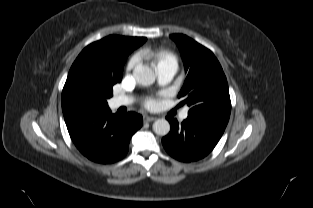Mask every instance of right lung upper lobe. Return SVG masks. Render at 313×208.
Listing matches in <instances>:
<instances>
[{"label":"right lung upper lobe","instance_id":"cb5924a9","mask_svg":"<svg viewBox=\"0 0 313 208\" xmlns=\"http://www.w3.org/2000/svg\"><path fill=\"white\" fill-rule=\"evenodd\" d=\"M146 40L145 37L110 35L88 45L76 58L69 71L62 91V102L71 100L67 89L72 78L86 72L115 71L120 69L124 66L127 56ZM117 55H119L118 58Z\"/></svg>","mask_w":313,"mask_h":208}]
</instances>
